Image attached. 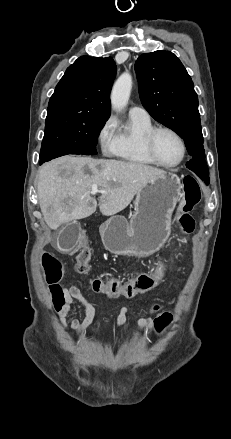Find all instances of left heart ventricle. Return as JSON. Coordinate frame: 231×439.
Here are the masks:
<instances>
[{"label":"left heart ventricle","mask_w":231,"mask_h":439,"mask_svg":"<svg viewBox=\"0 0 231 439\" xmlns=\"http://www.w3.org/2000/svg\"><path fill=\"white\" fill-rule=\"evenodd\" d=\"M155 151L158 158L166 164L177 162L181 156L179 141L168 132H160L156 136Z\"/></svg>","instance_id":"obj_1"}]
</instances>
